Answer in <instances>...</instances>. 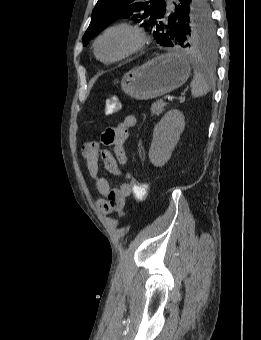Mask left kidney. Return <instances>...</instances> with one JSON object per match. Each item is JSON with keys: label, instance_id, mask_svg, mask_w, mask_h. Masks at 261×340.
<instances>
[{"label": "left kidney", "instance_id": "obj_1", "mask_svg": "<svg viewBox=\"0 0 261 340\" xmlns=\"http://www.w3.org/2000/svg\"><path fill=\"white\" fill-rule=\"evenodd\" d=\"M184 128L185 117L177 109L168 111L155 126L149 150L150 162L155 167H162L168 162Z\"/></svg>", "mask_w": 261, "mask_h": 340}]
</instances>
